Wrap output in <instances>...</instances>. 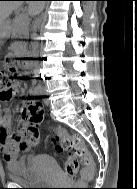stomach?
<instances>
[{"mask_svg":"<svg viewBox=\"0 0 137 189\" xmlns=\"http://www.w3.org/2000/svg\"><path fill=\"white\" fill-rule=\"evenodd\" d=\"M9 35H10L9 29L6 26L1 25L0 26V39L8 38Z\"/></svg>","mask_w":137,"mask_h":189,"instance_id":"1","label":"stomach"}]
</instances>
